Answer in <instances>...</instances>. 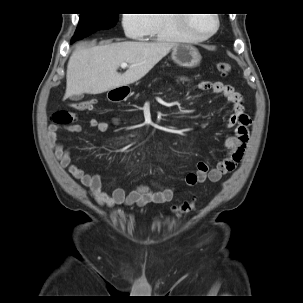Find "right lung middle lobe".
Returning <instances> with one entry per match:
<instances>
[{
    "label": "right lung middle lobe",
    "mask_w": 303,
    "mask_h": 303,
    "mask_svg": "<svg viewBox=\"0 0 303 303\" xmlns=\"http://www.w3.org/2000/svg\"><path fill=\"white\" fill-rule=\"evenodd\" d=\"M118 18V13L81 14L77 30L72 40L82 39L98 30L110 29L116 25Z\"/></svg>",
    "instance_id": "right-lung-middle-lobe-1"
}]
</instances>
